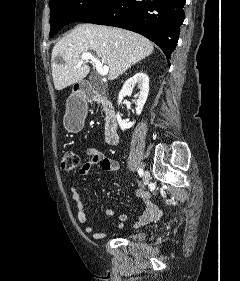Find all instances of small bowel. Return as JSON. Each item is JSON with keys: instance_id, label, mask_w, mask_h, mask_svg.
<instances>
[{"instance_id": "obj_1", "label": "small bowel", "mask_w": 240, "mask_h": 281, "mask_svg": "<svg viewBox=\"0 0 240 281\" xmlns=\"http://www.w3.org/2000/svg\"><path fill=\"white\" fill-rule=\"evenodd\" d=\"M88 156V161L83 163L79 169V173L82 176L89 174L91 168L94 165H100L104 171L107 172H118L119 164L116 160L106 157L101 151L96 148H88L86 150ZM70 192L72 194V199L76 204V219L80 224H85L87 222V215L85 213L84 204L81 198V194L78 188L74 185L70 186ZM135 195L140 197L144 201V208L141 215L138 217L137 221L134 223L133 228H139L143 225L148 224L152 221L156 215V209L150 201V194L145 190H136ZM106 215L109 217H116L120 222V227L127 220V215L117 214L115 210L108 209ZM85 232L92 234L94 238L100 239L105 237L107 234L105 232H98L92 226H86Z\"/></svg>"}]
</instances>
